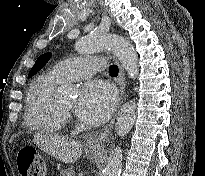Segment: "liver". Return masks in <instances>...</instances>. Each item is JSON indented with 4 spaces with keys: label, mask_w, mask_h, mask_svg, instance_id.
Returning a JSON list of instances; mask_svg holds the SVG:
<instances>
[{
    "label": "liver",
    "mask_w": 205,
    "mask_h": 176,
    "mask_svg": "<svg viewBox=\"0 0 205 176\" xmlns=\"http://www.w3.org/2000/svg\"><path fill=\"white\" fill-rule=\"evenodd\" d=\"M33 141L45 152L64 163H74L82 155L80 142L59 135L36 134Z\"/></svg>",
    "instance_id": "1"
}]
</instances>
